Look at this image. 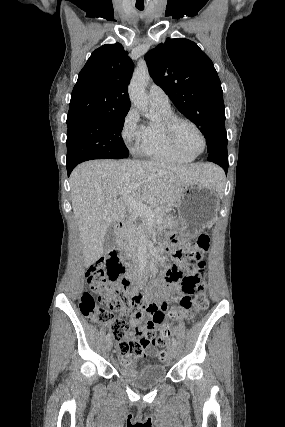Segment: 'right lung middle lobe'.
Wrapping results in <instances>:
<instances>
[{
  "mask_svg": "<svg viewBox=\"0 0 285 427\" xmlns=\"http://www.w3.org/2000/svg\"><path fill=\"white\" fill-rule=\"evenodd\" d=\"M127 112H108L67 121L66 167L91 159L126 158L129 151L121 137Z\"/></svg>",
  "mask_w": 285,
  "mask_h": 427,
  "instance_id": "1",
  "label": "right lung middle lobe"
}]
</instances>
